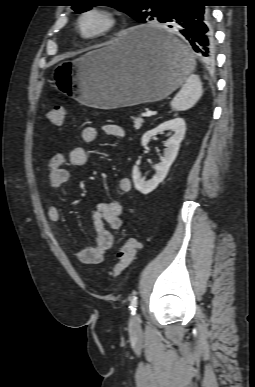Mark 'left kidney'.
I'll list each match as a JSON object with an SVG mask.
<instances>
[{
  "label": "left kidney",
  "instance_id": "1",
  "mask_svg": "<svg viewBox=\"0 0 255 387\" xmlns=\"http://www.w3.org/2000/svg\"><path fill=\"white\" fill-rule=\"evenodd\" d=\"M186 130V124L183 118H175L169 121H165L158 125L156 128L147 131L142 139L141 144L145 146L150 139L161 134L164 131H173L174 134L165 142L166 148L164 149V156L160 163L156 164L154 169L156 174L152 179L145 180L142 177L138 166H134L132 171V178L135 188L142 194H148L153 191L167 176L170 166L174 162L180 147V143L184 138Z\"/></svg>",
  "mask_w": 255,
  "mask_h": 387
}]
</instances>
